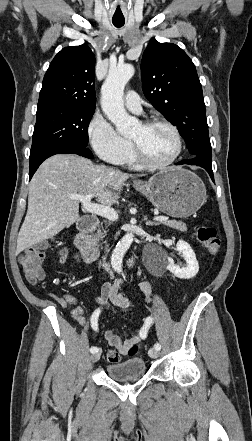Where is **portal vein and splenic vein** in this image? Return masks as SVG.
I'll return each instance as SVG.
<instances>
[{"label":"portal vein and splenic vein","mask_w":252,"mask_h":441,"mask_svg":"<svg viewBox=\"0 0 252 441\" xmlns=\"http://www.w3.org/2000/svg\"><path fill=\"white\" fill-rule=\"evenodd\" d=\"M92 197H93L92 194H88L86 196H80V195L70 196V198L72 199L79 200L83 204V208L89 213L102 216L111 221H116L118 219V214L114 209L100 204L92 203L91 202ZM154 220L159 222H165L168 221L169 218L166 216H157L154 218Z\"/></svg>","instance_id":"portal-vein-and-splenic-vein-1"}]
</instances>
